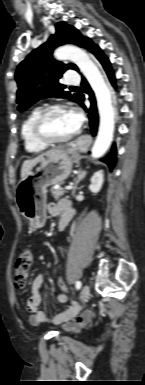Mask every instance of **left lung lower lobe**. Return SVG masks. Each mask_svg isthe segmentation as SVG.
I'll use <instances>...</instances> for the list:
<instances>
[{"label":"left lung lower lobe","instance_id":"0a47b994","mask_svg":"<svg viewBox=\"0 0 145 385\" xmlns=\"http://www.w3.org/2000/svg\"><path fill=\"white\" fill-rule=\"evenodd\" d=\"M87 49L90 52H92L96 56V58L100 61V63L104 67L111 83L115 86L114 75H113V72L111 70L110 62H109L108 58L103 54L101 49L97 45L93 44L91 41H90ZM82 86L85 88L86 93L89 94V96H90L89 99L91 101V106L88 110V117L90 120L91 132L93 135H96L97 128H98V113H97L94 94H93L91 88L89 87L87 81L84 78L82 80ZM83 100H84V97L81 98V101L79 104L84 109H86L85 106L83 105ZM102 161L105 162L109 166L110 170L113 169V167L115 166V163H116V147H115V145H113L111 152L105 158H103Z\"/></svg>","mask_w":145,"mask_h":385}]
</instances>
